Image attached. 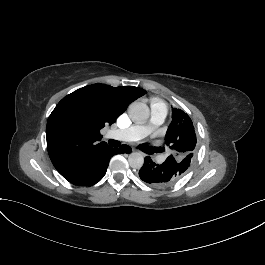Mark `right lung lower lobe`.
I'll use <instances>...</instances> for the list:
<instances>
[{"mask_svg": "<svg viewBox=\"0 0 265 265\" xmlns=\"http://www.w3.org/2000/svg\"><path fill=\"white\" fill-rule=\"evenodd\" d=\"M131 148L122 145L120 148H101L84 158L70 173L63 176L70 183L78 186H91L100 181L106 174L109 160L116 154H129Z\"/></svg>", "mask_w": 265, "mask_h": 265, "instance_id": "98d812e1", "label": "right lung lower lobe"}]
</instances>
